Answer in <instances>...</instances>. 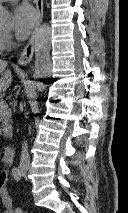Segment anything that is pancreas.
I'll use <instances>...</instances> for the list:
<instances>
[{
  "instance_id": "pancreas-1",
  "label": "pancreas",
  "mask_w": 128,
  "mask_h": 213,
  "mask_svg": "<svg viewBox=\"0 0 128 213\" xmlns=\"http://www.w3.org/2000/svg\"><path fill=\"white\" fill-rule=\"evenodd\" d=\"M0 122V135H3L4 137H12V120L10 109L0 110Z\"/></svg>"
}]
</instances>
